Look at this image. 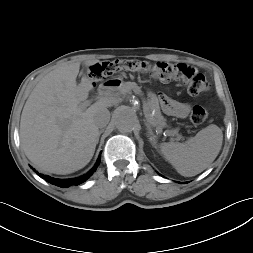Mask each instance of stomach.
Returning a JSON list of instances; mask_svg holds the SVG:
<instances>
[{
    "mask_svg": "<svg viewBox=\"0 0 253 253\" xmlns=\"http://www.w3.org/2000/svg\"><path fill=\"white\" fill-rule=\"evenodd\" d=\"M117 82H114V84H116ZM119 83H121V81L119 82ZM112 88H115V87H112Z\"/></svg>",
    "mask_w": 253,
    "mask_h": 253,
    "instance_id": "obj_1",
    "label": "stomach"
}]
</instances>
